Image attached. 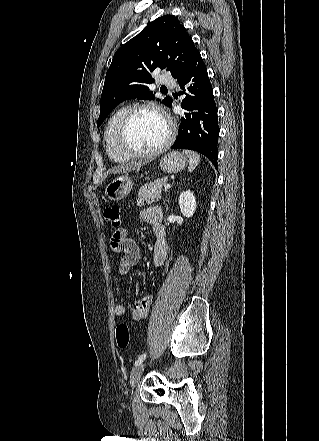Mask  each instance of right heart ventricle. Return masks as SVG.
<instances>
[{
	"instance_id": "right-heart-ventricle-1",
	"label": "right heart ventricle",
	"mask_w": 319,
	"mask_h": 441,
	"mask_svg": "<svg viewBox=\"0 0 319 441\" xmlns=\"http://www.w3.org/2000/svg\"><path fill=\"white\" fill-rule=\"evenodd\" d=\"M128 106H120L110 116L104 130V141L109 158L115 162H127L131 157L125 154L117 143V130L121 119L128 110Z\"/></svg>"
}]
</instances>
